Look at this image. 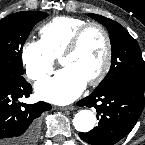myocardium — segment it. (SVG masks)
Wrapping results in <instances>:
<instances>
[{"mask_svg": "<svg viewBox=\"0 0 145 145\" xmlns=\"http://www.w3.org/2000/svg\"><path fill=\"white\" fill-rule=\"evenodd\" d=\"M92 28L99 30L101 34L103 35L104 41H105V58H104L102 67L100 71L98 72V74L87 82V84L90 86H97L107 76L111 68L112 59H113V47H112V41H111L110 35L108 31L106 30V28L100 23L88 22L82 25L81 27H79L72 35L71 39L69 40L62 54L59 56V61L61 62L63 58L74 53L75 50L78 48L79 43L82 37L84 36V34Z\"/></svg>", "mask_w": 145, "mask_h": 145, "instance_id": "myocardium-1", "label": "myocardium"}]
</instances>
